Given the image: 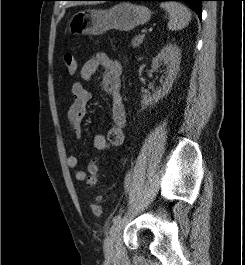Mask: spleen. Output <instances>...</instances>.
<instances>
[{
  "instance_id": "3e777b00",
  "label": "spleen",
  "mask_w": 245,
  "mask_h": 265,
  "mask_svg": "<svg viewBox=\"0 0 245 265\" xmlns=\"http://www.w3.org/2000/svg\"><path fill=\"white\" fill-rule=\"evenodd\" d=\"M160 6L169 13L170 20L167 26L170 30L183 29L191 20V12L181 3L163 2Z\"/></svg>"
}]
</instances>
